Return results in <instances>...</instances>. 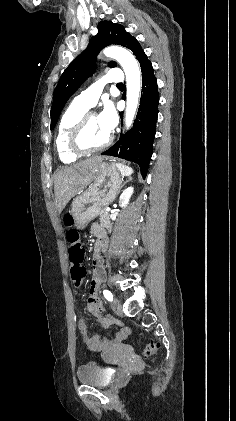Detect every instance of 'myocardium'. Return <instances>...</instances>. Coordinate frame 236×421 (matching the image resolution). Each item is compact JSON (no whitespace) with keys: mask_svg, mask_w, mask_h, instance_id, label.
I'll list each match as a JSON object with an SVG mask.
<instances>
[{"mask_svg":"<svg viewBox=\"0 0 236 421\" xmlns=\"http://www.w3.org/2000/svg\"><path fill=\"white\" fill-rule=\"evenodd\" d=\"M93 114H97L95 112H91V111H86L84 112L72 125L69 133H68V137H67V141H68V146L70 148V150L72 152H74L75 154L79 155V156H84V155H88L97 151H100L104 148H106L107 146L110 145V143L112 142L113 136L112 134H109L108 138L100 145L94 146V147H87L84 145L83 141H82V131L83 128L87 122V120L89 119V117Z\"/></svg>","mask_w":236,"mask_h":421,"instance_id":"1","label":"myocardium"}]
</instances>
